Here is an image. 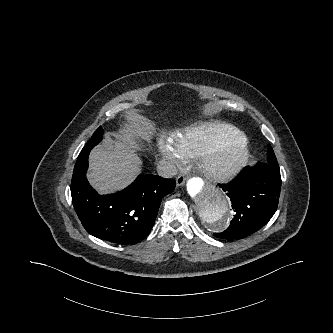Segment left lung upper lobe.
<instances>
[{"label":"left lung upper lobe","instance_id":"left-lung-upper-lobe-1","mask_svg":"<svg viewBox=\"0 0 333 333\" xmlns=\"http://www.w3.org/2000/svg\"><path fill=\"white\" fill-rule=\"evenodd\" d=\"M266 164L272 166L275 169H279L277 159H276L274 151L272 149H268V158H267Z\"/></svg>","mask_w":333,"mask_h":333}]
</instances>
